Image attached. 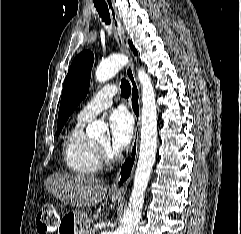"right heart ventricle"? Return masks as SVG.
Instances as JSON below:
<instances>
[{
    "label": "right heart ventricle",
    "mask_w": 241,
    "mask_h": 234,
    "mask_svg": "<svg viewBox=\"0 0 241 234\" xmlns=\"http://www.w3.org/2000/svg\"><path fill=\"white\" fill-rule=\"evenodd\" d=\"M85 122L77 120L64 142V159L70 172L80 176L96 174L102 168L97 145L84 133Z\"/></svg>",
    "instance_id": "right-heart-ventricle-1"
}]
</instances>
